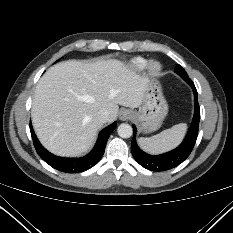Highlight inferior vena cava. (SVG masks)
Returning a JSON list of instances; mask_svg holds the SVG:
<instances>
[{"label":"inferior vena cava","instance_id":"1","mask_svg":"<svg viewBox=\"0 0 233 233\" xmlns=\"http://www.w3.org/2000/svg\"><path fill=\"white\" fill-rule=\"evenodd\" d=\"M97 119L101 123H106L109 120V112L107 110H105V109H101L97 113Z\"/></svg>","mask_w":233,"mask_h":233}]
</instances>
